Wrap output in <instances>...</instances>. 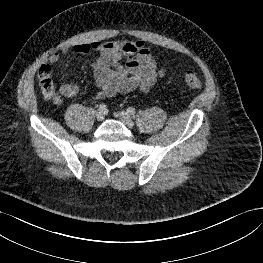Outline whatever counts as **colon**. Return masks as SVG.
<instances>
[{"instance_id": "obj_1", "label": "colon", "mask_w": 263, "mask_h": 263, "mask_svg": "<svg viewBox=\"0 0 263 263\" xmlns=\"http://www.w3.org/2000/svg\"><path fill=\"white\" fill-rule=\"evenodd\" d=\"M185 84L192 90H198L202 86L201 79L193 71H187L184 76ZM38 82L42 94L45 97H52L54 95V82L52 79L51 67L44 64L38 71Z\"/></svg>"}]
</instances>
